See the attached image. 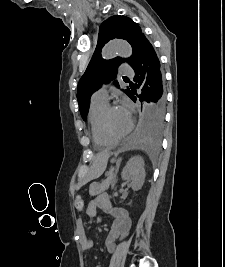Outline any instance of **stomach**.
Masks as SVG:
<instances>
[{
    "instance_id": "obj_1",
    "label": "stomach",
    "mask_w": 225,
    "mask_h": 267,
    "mask_svg": "<svg viewBox=\"0 0 225 267\" xmlns=\"http://www.w3.org/2000/svg\"><path fill=\"white\" fill-rule=\"evenodd\" d=\"M107 159H108V155H104L103 158L99 162H97V166L95 167L96 173H100L105 169L106 164H107Z\"/></svg>"
}]
</instances>
